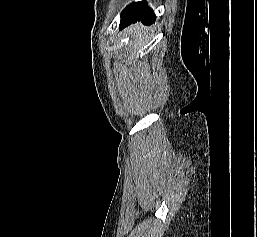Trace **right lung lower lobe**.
<instances>
[{"mask_svg":"<svg viewBox=\"0 0 257 237\" xmlns=\"http://www.w3.org/2000/svg\"><path fill=\"white\" fill-rule=\"evenodd\" d=\"M156 16L147 6L146 1L132 3L127 6L121 14L120 27H126L131 23L142 21L144 24H151L155 21Z\"/></svg>","mask_w":257,"mask_h":237,"instance_id":"right-lung-lower-lobe-1","label":"right lung lower lobe"}]
</instances>
